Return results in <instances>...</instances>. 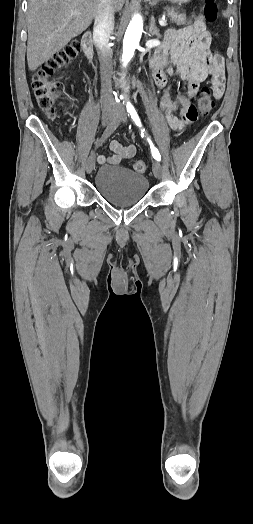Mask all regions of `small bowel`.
Listing matches in <instances>:
<instances>
[{
    "label": "small bowel",
    "instance_id": "1",
    "mask_svg": "<svg viewBox=\"0 0 253 524\" xmlns=\"http://www.w3.org/2000/svg\"><path fill=\"white\" fill-rule=\"evenodd\" d=\"M211 35L201 17L190 25L168 30L162 45L154 52L150 66L156 87L164 90L160 97V108L174 131H182L195 122L200 114L198 103L194 99L200 84L209 79L216 99L223 96L225 83L224 59L210 50ZM170 78L185 83L187 95H178L172 99L167 92ZM179 110L180 116L173 112ZM112 154L109 157L99 155V164H118L136 154L132 144H122L118 140L110 142Z\"/></svg>",
    "mask_w": 253,
    "mask_h": 524
}]
</instances>
